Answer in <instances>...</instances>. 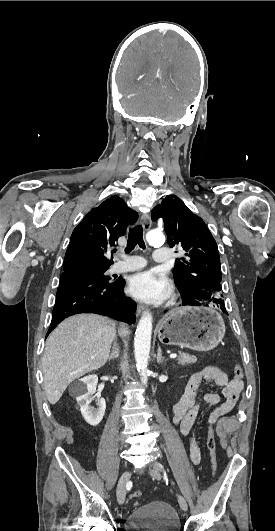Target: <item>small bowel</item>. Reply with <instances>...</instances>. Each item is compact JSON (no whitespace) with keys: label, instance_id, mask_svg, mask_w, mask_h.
I'll return each instance as SVG.
<instances>
[{"label":"small bowel","instance_id":"small-bowel-1","mask_svg":"<svg viewBox=\"0 0 275 531\" xmlns=\"http://www.w3.org/2000/svg\"><path fill=\"white\" fill-rule=\"evenodd\" d=\"M205 383H213L220 387L224 401L220 402L221 397L215 392H207L200 397L202 386ZM242 389L241 379L236 377L229 379L224 371L215 366H208L190 376L182 398L173 407V421L178 426L181 435L190 439L189 457L193 464L197 465L201 461L195 424L202 406H216L210 413L207 423L209 425L211 419L217 423L234 409Z\"/></svg>","mask_w":275,"mask_h":531}]
</instances>
